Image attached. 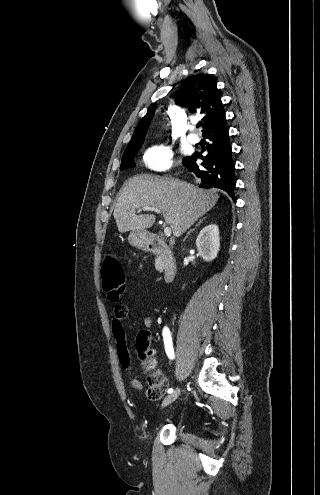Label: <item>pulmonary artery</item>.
Here are the masks:
<instances>
[{"label":"pulmonary artery","instance_id":"1","mask_svg":"<svg viewBox=\"0 0 320 495\" xmlns=\"http://www.w3.org/2000/svg\"><path fill=\"white\" fill-rule=\"evenodd\" d=\"M187 140L192 143V144H195V143H198L200 138L197 134L195 133H191L187 136Z\"/></svg>","mask_w":320,"mask_h":495}]
</instances>
